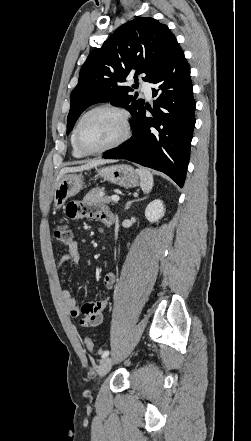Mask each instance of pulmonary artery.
<instances>
[{"label": "pulmonary artery", "instance_id": "1", "mask_svg": "<svg viewBox=\"0 0 251 441\" xmlns=\"http://www.w3.org/2000/svg\"><path fill=\"white\" fill-rule=\"evenodd\" d=\"M140 89L141 91L145 94V96L147 98H151L152 97V84L149 82H142L140 85Z\"/></svg>", "mask_w": 251, "mask_h": 441}]
</instances>
